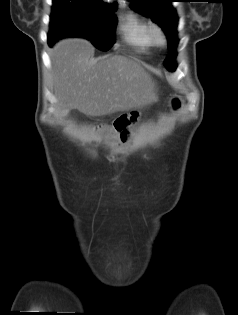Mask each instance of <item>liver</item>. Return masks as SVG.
<instances>
[{
  "label": "liver",
  "mask_w": 238,
  "mask_h": 315,
  "mask_svg": "<svg viewBox=\"0 0 238 315\" xmlns=\"http://www.w3.org/2000/svg\"><path fill=\"white\" fill-rule=\"evenodd\" d=\"M52 87L57 107L91 116L145 106L157 99L155 83L136 61L122 55L94 58L85 39H65L54 47Z\"/></svg>",
  "instance_id": "obj_1"
}]
</instances>
